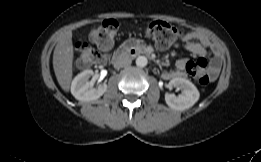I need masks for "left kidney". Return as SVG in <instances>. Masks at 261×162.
Wrapping results in <instances>:
<instances>
[{"instance_id":"5707ae66","label":"left kidney","mask_w":261,"mask_h":162,"mask_svg":"<svg viewBox=\"0 0 261 162\" xmlns=\"http://www.w3.org/2000/svg\"><path fill=\"white\" fill-rule=\"evenodd\" d=\"M171 85L181 90V93L177 96L168 94L165 97V101L171 109L185 110L198 101L199 91L189 80L177 77L171 80Z\"/></svg>"}]
</instances>
